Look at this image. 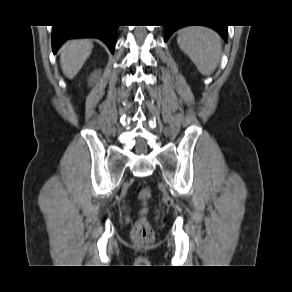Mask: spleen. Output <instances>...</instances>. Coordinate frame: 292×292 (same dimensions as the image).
<instances>
[{
    "label": "spleen",
    "mask_w": 292,
    "mask_h": 292,
    "mask_svg": "<svg viewBox=\"0 0 292 292\" xmlns=\"http://www.w3.org/2000/svg\"><path fill=\"white\" fill-rule=\"evenodd\" d=\"M177 43L198 71L205 76L216 69L221 58L219 35L206 27H186L178 32Z\"/></svg>",
    "instance_id": "spleen-1"
}]
</instances>
